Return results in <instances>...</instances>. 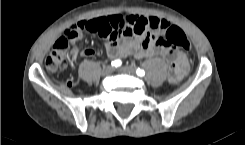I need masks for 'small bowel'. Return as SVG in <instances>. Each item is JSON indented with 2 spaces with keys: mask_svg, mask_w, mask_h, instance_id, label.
<instances>
[{
  "mask_svg": "<svg viewBox=\"0 0 245 145\" xmlns=\"http://www.w3.org/2000/svg\"><path fill=\"white\" fill-rule=\"evenodd\" d=\"M86 26H90L89 31L107 39V53L116 60L128 56L141 59L160 55L171 65L168 80L173 84L180 82L188 72L190 56L187 51L171 49L167 45L158 46L152 37H146L147 33L152 36H162L171 26L166 19L131 14L128 16H100L90 20H82L70 27L76 30V35L69 39L72 60L101 54V51L92 48H79L78 42L83 35L81 28ZM119 33L121 34L120 39H118Z\"/></svg>",
  "mask_w": 245,
  "mask_h": 145,
  "instance_id": "obj_1",
  "label": "small bowel"
}]
</instances>
